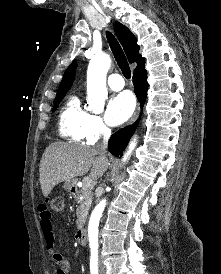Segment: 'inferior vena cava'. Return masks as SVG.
I'll return each mask as SVG.
<instances>
[{"mask_svg":"<svg viewBox=\"0 0 221 274\" xmlns=\"http://www.w3.org/2000/svg\"><path fill=\"white\" fill-rule=\"evenodd\" d=\"M110 135H111V130L106 127L104 129L103 139H102L101 143L97 145V148L100 150L102 155H105L106 148H107V142H108V138L110 137Z\"/></svg>","mask_w":221,"mask_h":274,"instance_id":"obj_1","label":"inferior vena cava"}]
</instances>
